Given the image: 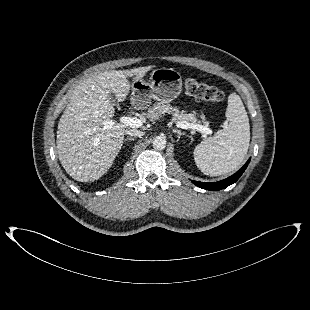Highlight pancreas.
<instances>
[{"mask_svg": "<svg viewBox=\"0 0 310 310\" xmlns=\"http://www.w3.org/2000/svg\"><path fill=\"white\" fill-rule=\"evenodd\" d=\"M165 113L172 114V121L175 123L178 122H187V123H196V113H187L186 111H180L177 107L171 106L169 104L157 103L153 107L148 109L146 116L150 120H157L162 117ZM203 123L207 126L208 122L203 120Z\"/></svg>", "mask_w": 310, "mask_h": 310, "instance_id": "obj_1", "label": "pancreas"}]
</instances>
